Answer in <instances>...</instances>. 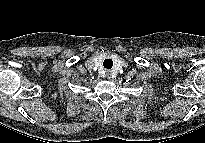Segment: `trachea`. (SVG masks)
<instances>
[{"mask_svg": "<svg viewBox=\"0 0 205 143\" xmlns=\"http://www.w3.org/2000/svg\"><path fill=\"white\" fill-rule=\"evenodd\" d=\"M103 65L107 69H111L113 66V61L111 59H105Z\"/></svg>", "mask_w": 205, "mask_h": 143, "instance_id": "trachea-1", "label": "trachea"}]
</instances>
